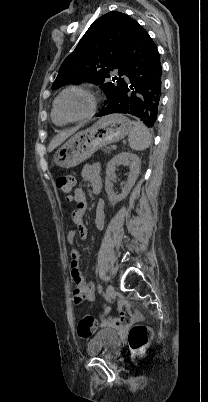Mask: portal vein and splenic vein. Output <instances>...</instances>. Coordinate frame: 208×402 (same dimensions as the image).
<instances>
[{"label":"portal vein and splenic vein","mask_w":208,"mask_h":402,"mask_svg":"<svg viewBox=\"0 0 208 402\" xmlns=\"http://www.w3.org/2000/svg\"><path fill=\"white\" fill-rule=\"evenodd\" d=\"M113 150H116L115 146H112Z\"/></svg>","instance_id":"obj_1"}]
</instances>
